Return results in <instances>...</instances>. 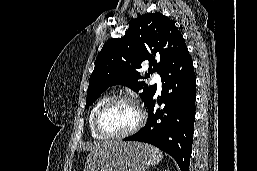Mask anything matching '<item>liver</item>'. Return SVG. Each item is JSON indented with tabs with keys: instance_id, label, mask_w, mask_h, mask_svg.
<instances>
[{
	"instance_id": "liver-1",
	"label": "liver",
	"mask_w": 257,
	"mask_h": 171,
	"mask_svg": "<svg viewBox=\"0 0 257 171\" xmlns=\"http://www.w3.org/2000/svg\"><path fill=\"white\" fill-rule=\"evenodd\" d=\"M110 143H112V142H96L93 144H87L84 148H85V150L97 151Z\"/></svg>"
}]
</instances>
